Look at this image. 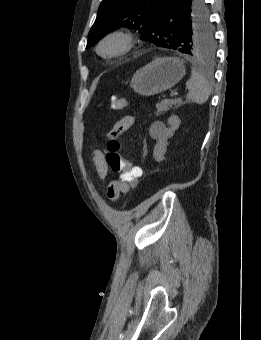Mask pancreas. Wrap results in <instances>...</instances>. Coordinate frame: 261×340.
Masks as SVG:
<instances>
[{"label": "pancreas", "mask_w": 261, "mask_h": 340, "mask_svg": "<svg viewBox=\"0 0 261 340\" xmlns=\"http://www.w3.org/2000/svg\"><path fill=\"white\" fill-rule=\"evenodd\" d=\"M174 106L178 107L181 105L179 100H162L161 102L156 104L157 112L156 115L159 116L165 112H167L170 108Z\"/></svg>", "instance_id": "pancreas-1"}]
</instances>
